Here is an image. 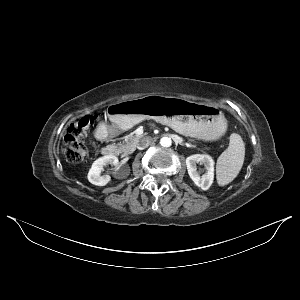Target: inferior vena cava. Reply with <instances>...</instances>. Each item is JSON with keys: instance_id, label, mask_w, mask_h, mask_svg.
I'll list each match as a JSON object with an SVG mask.
<instances>
[{"instance_id": "obj_1", "label": "inferior vena cava", "mask_w": 300, "mask_h": 300, "mask_svg": "<svg viewBox=\"0 0 300 300\" xmlns=\"http://www.w3.org/2000/svg\"><path fill=\"white\" fill-rule=\"evenodd\" d=\"M154 143V140L147 136V137H143L142 139L139 140V143L137 145V148L139 150H143L145 148H147L149 145H152Z\"/></svg>"}]
</instances>
